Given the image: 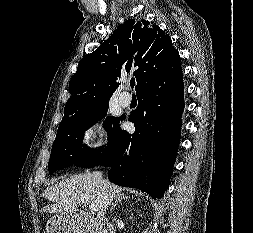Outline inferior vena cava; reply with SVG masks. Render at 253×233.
I'll return each instance as SVG.
<instances>
[{"instance_id": "602c4592", "label": "inferior vena cava", "mask_w": 253, "mask_h": 233, "mask_svg": "<svg viewBox=\"0 0 253 233\" xmlns=\"http://www.w3.org/2000/svg\"><path fill=\"white\" fill-rule=\"evenodd\" d=\"M94 177L97 181H102V172L100 171H95L94 173ZM111 230V229H110Z\"/></svg>"}]
</instances>
